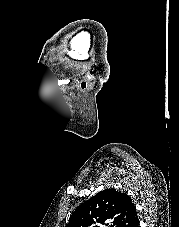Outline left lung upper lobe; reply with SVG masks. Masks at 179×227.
I'll return each instance as SVG.
<instances>
[{
	"mask_svg": "<svg viewBox=\"0 0 179 227\" xmlns=\"http://www.w3.org/2000/svg\"><path fill=\"white\" fill-rule=\"evenodd\" d=\"M138 227L137 211L126 193L105 189L79 205L66 227Z\"/></svg>",
	"mask_w": 179,
	"mask_h": 227,
	"instance_id": "1",
	"label": "left lung upper lobe"
}]
</instances>
